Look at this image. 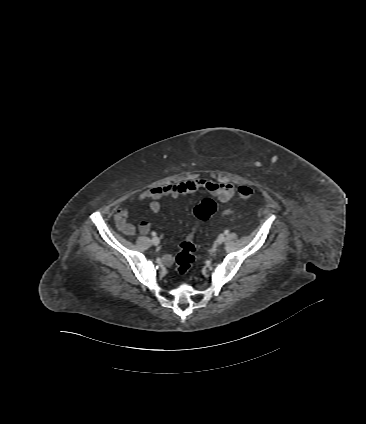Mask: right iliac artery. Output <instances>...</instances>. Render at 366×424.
<instances>
[{"mask_svg": "<svg viewBox=\"0 0 366 424\" xmlns=\"http://www.w3.org/2000/svg\"><path fill=\"white\" fill-rule=\"evenodd\" d=\"M151 235H152V236H156V233H155V232H152V233H151Z\"/></svg>", "mask_w": 366, "mask_h": 424, "instance_id": "82829eb1", "label": "right iliac artery"}]
</instances>
